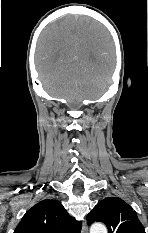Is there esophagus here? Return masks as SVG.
<instances>
[{"label":"esophagus","instance_id":"1","mask_svg":"<svg viewBox=\"0 0 148 233\" xmlns=\"http://www.w3.org/2000/svg\"><path fill=\"white\" fill-rule=\"evenodd\" d=\"M81 233H89L88 226H87L86 222H83V227H82Z\"/></svg>","mask_w":148,"mask_h":233}]
</instances>
